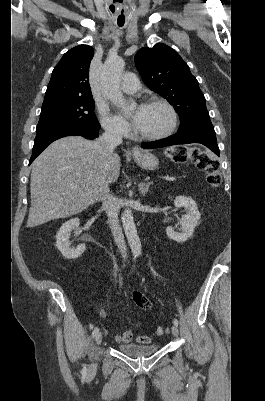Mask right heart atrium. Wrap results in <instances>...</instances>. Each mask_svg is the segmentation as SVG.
<instances>
[{
    "mask_svg": "<svg viewBox=\"0 0 265 401\" xmlns=\"http://www.w3.org/2000/svg\"><path fill=\"white\" fill-rule=\"evenodd\" d=\"M99 121L108 136L125 137L131 133L129 125L118 116L112 115L106 106L99 107Z\"/></svg>",
    "mask_w": 265,
    "mask_h": 401,
    "instance_id": "1",
    "label": "right heart atrium"
}]
</instances>
